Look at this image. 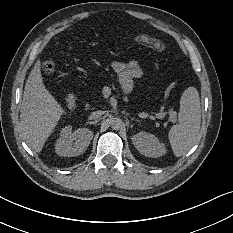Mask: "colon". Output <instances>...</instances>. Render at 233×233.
Returning <instances> with one entry per match:
<instances>
[{
  "mask_svg": "<svg viewBox=\"0 0 233 233\" xmlns=\"http://www.w3.org/2000/svg\"><path fill=\"white\" fill-rule=\"evenodd\" d=\"M141 42L145 41L147 44H149L151 47H153L156 50L163 51L164 45L155 39H146L143 38L140 39ZM42 68L45 72L54 73L55 72V64L53 61H46L43 63Z\"/></svg>",
  "mask_w": 233,
  "mask_h": 233,
  "instance_id": "5ec220e1",
  "label": "colon"
}]
</instances>
